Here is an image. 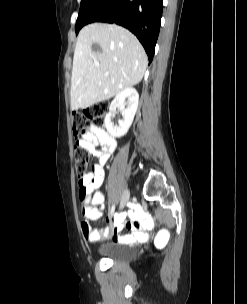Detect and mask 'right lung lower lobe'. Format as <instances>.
<instances>
[{"label":"right lung lower lobe","instance_id":"1","mask_svg":"<svg viewBox=\"0 0 247 304\" xmlns=\"http://www.w3.org/2000/svg\"><path fill=\"white\" fill-rule=\"evenodd\" d=\"M163 0H102L84 19L92 22L115 23L129 29L143 45L151 63L157 42Z\"/></svg>","mask_w":247,"mask_h":304}]
</instances>
